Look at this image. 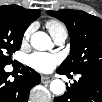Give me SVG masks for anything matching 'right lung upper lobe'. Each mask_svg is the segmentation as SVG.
Segmentation results:
<instances>
[{
    "label": "right lung upper lobe",
    "instance_id": "right-lung-upper-lobe-1",
    "mask_svg": "<svg viewBox=\"0 0 102 102\" xmlns=\"http://www.w3.org/2000/svg\"><path fill=\"white\" fill-rule=\"evenodd\" d=\"M0 11L4 14L15 16L27 25H30L31 22L40 16V10L25 9L17 5L1 6Z\"/></svg>",
    "mask_w": 102,
    "mask_h": 102
}]
</instances>
